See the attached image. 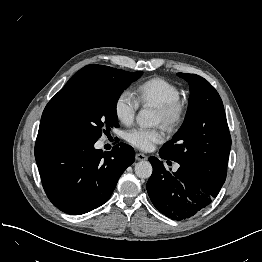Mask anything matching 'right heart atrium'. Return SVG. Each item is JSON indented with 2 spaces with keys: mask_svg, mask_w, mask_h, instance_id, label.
Returning <instances> with one entry per match:
<instances>
[{
  "mask_svg": "<svg viewBox=\"0 0 262 262\" xmlns=\"http://www.w3.org/2000/svg\"><path fill=\"white\" fill-rule=\"evenodd\" d=\"M137 109L138 102L128 91L122 92L114 104L115 116L123 124H130L133 121Z\"/></svg>",
  "mask_w": 262,
  "mask_h": 262,
  "instance_id": "obj_1",
  "label": "right heart atrium"
}]
</instances>
